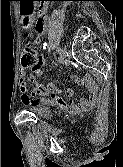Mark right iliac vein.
Here are the masks:
<instances>
[{
  "label": "right iliac vein",
  "instance_id": "obj_1",
  "mask_svg": "<svg viewBox=\"0 0 123 167\" xmlns=\"http://www.w3.org/2000/svg\"><path fill=\"white\" fill-rule=\"evenodd\" d=\"M65 53H66V49L65 48L61 49V51H60V57H59V62L60 63L63 62V60L65 58Z\"/></svg>",
  "mask_w": 123,
  "mask_h": 167
}]
</instances>
